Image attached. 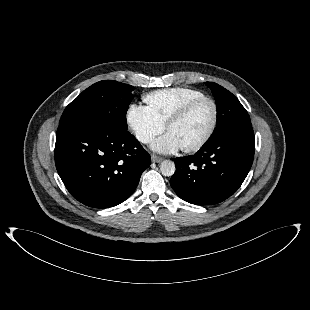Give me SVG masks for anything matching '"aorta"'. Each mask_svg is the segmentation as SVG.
<instances>
[{"mask_svg":"<svg viewBox=\"0 0 310 310\" xmlns=\"http://www.w3.org/2000/svg\"><path fill=\"white\" fill-rule=\"evenodd\" d=\"M175 163L171 160H164L160 164V172L162 175L170 177L175 173Z\"/></svg>","mask_w":310,"mask_h":310,"instance_id":"obj_1","label":"aorta"}]
</instances>
